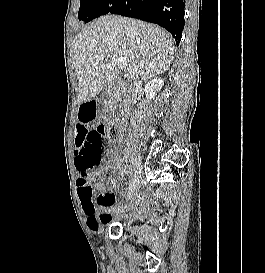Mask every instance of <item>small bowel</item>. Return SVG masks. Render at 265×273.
<instances>
[{
    "label": "small bowel",
    "instance_id": "1",
    "mask_svg": "<svg viewBox=\"0 0 265 273\" xmlns=\"http://www.w3.org/2000/svg\"><path fill=\"white\" fill-rule=\"evenodd\" d=\"M97 113L95 109V103H80V107L78 110L79 123H94V114ZM74 129H89V124H74ZM77 136L75 137V145H76ZM75 156V168L78 172L77 179V190H78V198L86 216V224L87 227L91 231H97L100 227L108 225L112 219L111 210L116 207V196L113 193H102V189L104 187V182L99 178L98 173L87 174L86 176L83 174V171L79 167V158L78 152L74 151ZM111 164L114 168L119 169L121 167V161L117 157H113L111 159ZM88 181V179L93 180V189L97 192L96 195H93L92 192L90 195L83 194V180ZM140 202V198H136L131 203L128 204V207H134L138 205Z\"/></svg>",
    "mask_w": 265,
    "mask_h": 273
}]
</instances>
